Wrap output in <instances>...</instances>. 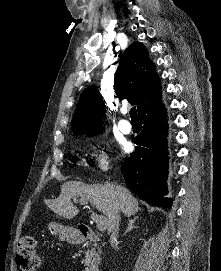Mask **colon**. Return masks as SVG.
<instances>
[{
    "instance_id": "5ec220e1",
    "label": "colon",
    "mask_w": 221,
    "mask_h": 271,
    "mask_svg": "<svg viewBox=\"0 0 221 271\" xmlns=\"http://www.w3.org/2000/svg\"><path fill=\"white\" fill-rule=\"evenodd\" d=\"M15 262L18 271H38L40 269L37 241L33 237L23 236L19 239Z\"/></svg>"
}]
</instances>
